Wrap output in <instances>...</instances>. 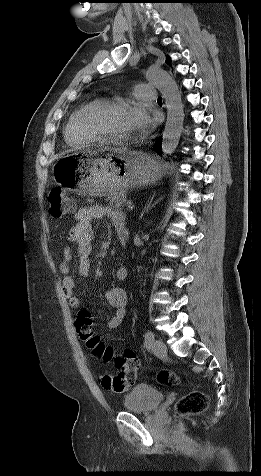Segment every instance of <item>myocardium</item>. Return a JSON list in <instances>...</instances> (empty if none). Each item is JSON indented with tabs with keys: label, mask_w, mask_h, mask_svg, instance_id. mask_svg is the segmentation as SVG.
Segmentation results:
<instances>
[{
	"label": "myocardium",
	"mask_w": 261,
	"mask_h": 476,
	"mask_svg": "<svg viewBox=\"0 0 261 476\" xmlns=\"http://www.w3.org/2000/svg\"><path fill=\"white\" fill-rule=\"evenodd\" d=\"M130 101L111 99L95 100L88 104L79 114L77 125L80 133L87 139L103 142H125L129 136L116 135L92 124V117L99 113L131 107Z\"/></svg>",
	"instance_id": "f54148a6"
}]
</instances>
